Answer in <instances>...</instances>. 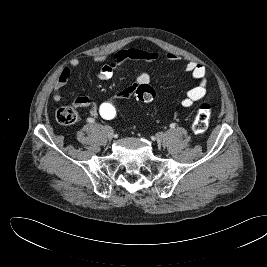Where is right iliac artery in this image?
I'll return each instance as SVG.
<instances>
[{
  "label": "right iliac artery",
  "instance_id": "1",
  "mask_svg": "<svg viewBox=\"0 0 267 267\" xmlns=\"http://www.w3.org/2000/svg\"><path fill=\"white\" fill-rule=\"evenodd\" d=\"M88 121H89V122H94V119L89 118Z\"/></svg>",
  "mask_w": 267,
  "mask_h": 267
}]
</instances>
